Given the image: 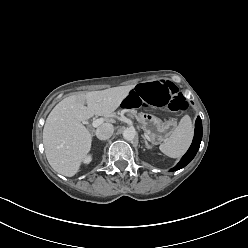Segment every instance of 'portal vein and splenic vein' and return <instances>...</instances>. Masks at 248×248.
Segmentation results:
<instances>
[{"instance_id": "18ae733b", "label": "portal vein and splenic vein", "mask_w": 248, "mask_h": 248, "mask_svg": "<svg viewBox=\"0 0 248 248\" xmlns=\"http://www.w3.org/2000/svg\"><path fill=\"white\" fill-rule=\"evenodd\" d=\"M103 122H104V119L102 118L96 119L92 122V126L96 128L100 126Z\"/></svg>"}]
</instances>
